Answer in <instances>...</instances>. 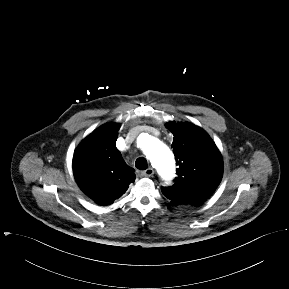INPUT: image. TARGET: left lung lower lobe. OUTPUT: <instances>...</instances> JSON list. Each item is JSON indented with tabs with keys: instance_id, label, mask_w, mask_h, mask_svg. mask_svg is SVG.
Segmentation results:
<instances>
[{
	"instance_id": "1",
	"label": "left lung lower lobe",
	"mask_w": 289,
	"mask_h": 289,
	"mask_svg": "<svg viewBox=\"0 0 289 289\" xmlns=\"http://www.w3.org/2000/svg\"><path fill=\"white\" fill-rule=\"evenodd\" d=\"M173 204H177L176 202H172Z\"/></svg>"
}]
</instances>
